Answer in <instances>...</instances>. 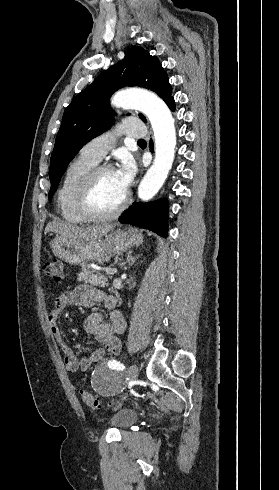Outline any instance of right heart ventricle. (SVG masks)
I'll use <instances>...</instances> for the list:
<instances>
[{
	"instance_id": "1",
	"label": "right heart ventricle",
	"mask_w": 279,
	"mask_h": 490,
	"mask_svg": "<svg viewBox=\"0 0 279 490\" xmlns=\"http://www.w3.org/2000/svg\"><path fill=\"white\" fill-rule=\"evenodd\" d=\"M95 165L79 155L67 165L64 171L57 199L61 216L69 224L82 225L89 220L78 208V195L85 175Z\"/></svg>"
}]
</instances>
